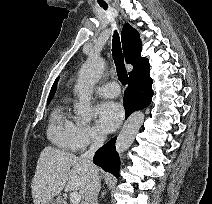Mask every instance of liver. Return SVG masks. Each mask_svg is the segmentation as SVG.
I'll use <instances>...</instances> for the list:
<instances>
[{
	"label": "liver",
	"mask_w": 212,
	"mask_h": 204,
	"mask_svg": "<svg viewBox=\"0 0 212 204\" xmlns=\"http://www.w3.org/2000/svg\"><path fill=\"white\" fill-rule=\"evenodd\" d=\"M88 173V167L76 155L52 146L45 147L37 161L31 185L34 204H47L63 189L79 191L84 196Z\"/></svg>",
	"instance_id": "1"
}]
</instances>
